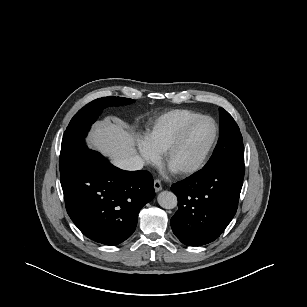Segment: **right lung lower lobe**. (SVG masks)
<instances>
[{
  "label": "right lung lower lobe",
  "mask_w": 307,
  "mask_h": 307,
  "mask_svg": "<svg viewBox=\"0 0 307 307\" xmlns=\"http://www.w3.org/2000/svg\"><path fill=\"white\" fill-rule=\"evenodd\" d=\"M60 181L72 221L86 237L105 245L128 239L140 209L155 196L148 171H122L88 148L60 173Z\"/></svg>",
  "instance_id": "obj_1"
}]
</instances>
